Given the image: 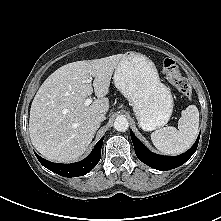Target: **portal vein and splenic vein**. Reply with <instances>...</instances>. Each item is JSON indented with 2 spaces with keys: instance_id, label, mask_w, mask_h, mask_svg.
Masks as SVG:
<instances>
[{
  "instance_id": "obj_1",
  "label": "portal vein and splenic vein",
  "mask_w": 221,
  "mask_h": 221,
  "mask_svg": "<svg viewBox=\"0 0 221 221\" xmlns=\"http://www.w3.org/2000/svg\"><path fill=\"white\" fill-rule=\"evenodd\" d=\"M91 79H88V82H90ZM93 99L92 98H87L85 101H84V105L85 106H89L91 103H92Z\"/></svg>"
}]
</instances>
